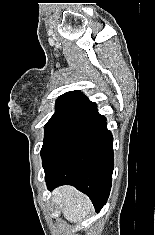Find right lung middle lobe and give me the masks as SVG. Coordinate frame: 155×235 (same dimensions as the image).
I'll list each match as a JSON object with an SVG mask.
<instances>
[{
    "label": "right lung middle lobe",
    "instance_id": "right-lung-middle-lobe-1",
    "mask_svg": "<svg viewBox=\"0 0 155 235\" xmlns=\"http://www.w3.org/2000/svg\"><path fill=\"white\" fill-rule=\"evenodd\" d=\"M93 124L70 116L54 114L45 126L41 149L43 167H50L60 153Z\"/></svg>",
    "mask_w": 155,
    "mask_h": 235
}]
</instances>
